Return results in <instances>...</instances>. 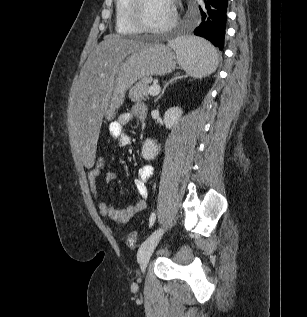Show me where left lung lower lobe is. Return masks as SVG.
<instances>
[{"label":"left lung lower lobe","mask_w":307,"mask_h":317,"mask_svg":"<svg viewBox=\"0 0 307 317\" xmlns=\"http://www.w3.org/2000/svg\"><path fill=\"white\" fill-rule=\"evenodd\" d=\"M228 0H203L199 6L200 19L193 33L209 40L221 50L224 46V36L227 20Z\"/></svg>","instance_id":"left-lung-lower-lobe-1"}]
</instances>
